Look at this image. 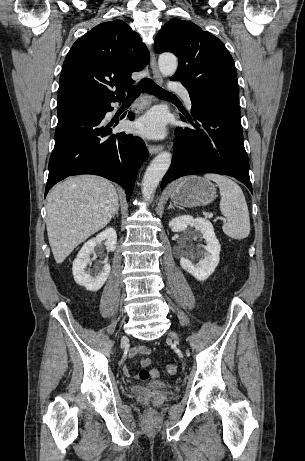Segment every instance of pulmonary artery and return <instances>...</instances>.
Returning <instances> with one entry per match:
<instances>
[{"instance_id":"pulmonary-artery-1","label":"pulmonary artery","mask_w":305,"mask_h":461,"mask_svg":"<svg viewBox=\"0 0 305 461\" xmlns=\"http://www.w3.org/2000/svg\"><path fill=\"white\" fill-rule=\"evenodd\" d=\"M171 89L173 91L179 93L181 95L182 99L184 100L186 106L188 108H191L192 102H191L189 92H188V90L186 88H184L182 86H173V87H171Z\"/></svg>"}]
</instances>
